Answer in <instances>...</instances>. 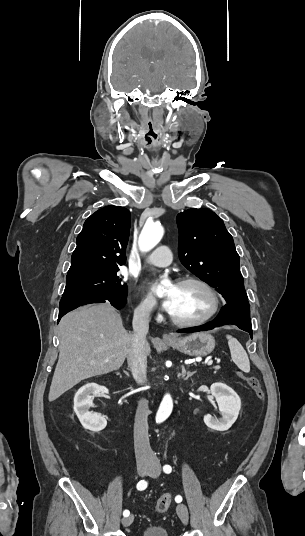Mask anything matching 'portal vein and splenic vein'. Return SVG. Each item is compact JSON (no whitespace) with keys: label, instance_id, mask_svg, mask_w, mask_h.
<instances>
[{"label":"portal vein and splenic vein","instance_id":"portal-vein-and-splenic-vein-1","mask_svg":"<svg viewBox=\"0 0 305 536\" xmlns=\"http://www.w3.org/2000/svg\"><path fill=\"white\" fill-rule=\"evenodd\" d=\"M211 364H213V360H209L208 366H211Z\"/></svg>","mask_w":305,"mask_h":536}]
</instances>
